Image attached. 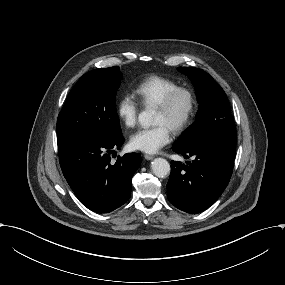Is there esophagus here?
Instances as JSON below:
<instances>
[{"label":"esophagus","instance_id":"1","mask_svg":"<svg viewBox=\"0 0 285 285\" xmlns=\"http://www.w3.org/2000/svg\"><path fill=\"white\" fill-rule=\"evenodd\" d=\"M144 158H145L146 160H152V159L154 158V156H153V155H150V154H145V155H144Z\"/></svg>","mask_w":285,"mask_h":285}]
</instances>
